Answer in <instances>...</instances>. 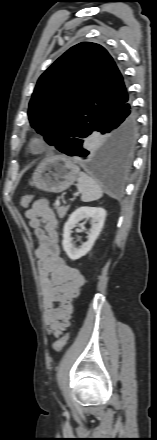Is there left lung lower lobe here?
I'll return each instance as SVG.
<instances>
[{
    "instance_id": "0a47b994",
    "label": "left lung lower lobe",
    "mask_w": 157,
    "mask_h": 440,
    "mask_svg": "<svg viewBox=\"0 0 157 440\" xmlns=\"http://www.w3.org/2000/svg\"><path fill=\"white\" fill-rule=\"evenodd\" d=\"M94 131L105 135L97 151L87 150L83 140L64 153L78 157L89 171L114 180L121 179L130 168L131 153L137 138V116L129 95L99 119Z\"/></svg>"
}]
</instances>
